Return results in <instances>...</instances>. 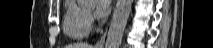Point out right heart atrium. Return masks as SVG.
Returning a JSON list of instances; mask_svg holds the SVG:
<instances>
[{
	"label": "right heart atrium",
	"instance_id": "obj_1",
	"mask_svg": "<svg viewBox=\"0 0 213 48\" xmlns=\"http://www.w3.org/2000/svg\"><path fill=\"white\" fill-rule=\"evenodd\" d=\"M88 21H90V17H88Z\"/></svg>",
	"mask_w": 213,
	"mask_h": 48
}]
</instances>
